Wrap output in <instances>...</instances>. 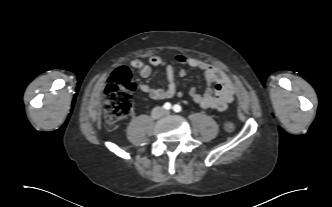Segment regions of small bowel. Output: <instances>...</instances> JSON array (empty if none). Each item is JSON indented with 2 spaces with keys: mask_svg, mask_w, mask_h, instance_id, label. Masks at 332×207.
<instances>
[{
  "mask_svg": "<svg viewBox=\"0 0 332 207\" xmlns=\"http://www.w3.org/2000/svg\"><path fill=\"white\" fill-rule=\"evenodd\" d=\"M177 63L186 65L192 68L199 69L203 72L207 82V88L203 94L197 92L195 88H191L189 95L192 100L206 109L224 110L234 99V85L231 78L218 67L206 63L204 61L180 54L176 56ZM132 68L139 71L142 78H147L151 75L153 68H163L167 78V87L153 88L146 84H140L139 90L147 94L153 100H163L173 97L174 95L181 96L177 92L175 82L174 66L164 61L157 55H152L147 62L140 59H133L130 62ZM179 76L186 75L185 69H180Z\"/></svg>",
  "mask_w": 332,
  "mask_h": 207,
  "instance_id": "c3829d8e",
  "label": "small bowel"
}]
</instances>
